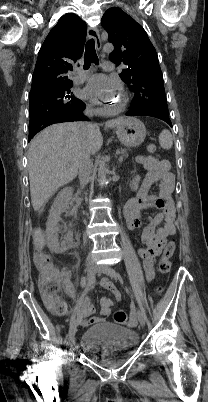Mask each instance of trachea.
Instances as JSON below:
<instances>
[{
    "instance_id": "3493384b",
    "label": "trachea",
    "mask_w": 208,
    "mask_h": 402,
    "mask_svg": "<svg viewBox=\"0 0 208 402\" xmlns=\"http://www.w3.org/2000/svg\"><path fill=\"white\" fill-rule=\"evenodd\" d=\"M91 63L99 64V60L95 50V40H88L85 45V55H84V69L87 70Z\"/></svg>"
}]
</instances>
